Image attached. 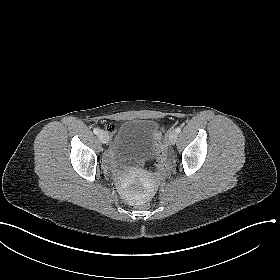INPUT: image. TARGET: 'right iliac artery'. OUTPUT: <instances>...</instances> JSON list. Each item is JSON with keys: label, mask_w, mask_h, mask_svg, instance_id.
<instances>
[{"label": "right iliac artery", "mask_w": 280, "mask_h": 280, "mask_svg": "<svg viewBox=\"0 0 280 280\" xmlns=\"http://www.w3.org/2000/svg\"><path fill=\"white\" fill-rule=\"evenodd\" d=\"M96 135L99 134V129L98 128H94V131H93Z\"/></svg>", "instance_id": "right-iliac-artery-1"}]
</instances>
